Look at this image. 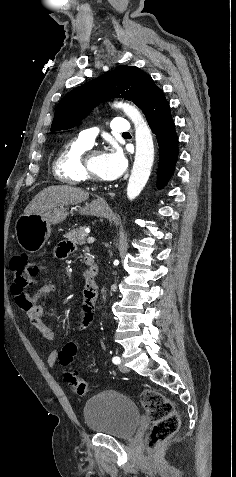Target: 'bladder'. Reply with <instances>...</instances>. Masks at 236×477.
Masks as SVG:
<instances>
[{
  "mask_svg": "<svg viewBox=\"0 0 236 477\" xmlns=\"http://www.w3.org/2000/svg\"><path fill=\"white\" fill-rule=\"evenodd\" d=\"M83 418L89 431L119 439L131 438L140 422L137 405L115 390H103L83 407Z\"/></svg>",
  "mask_w": 236,
  "mask_h": 477,
  "instance_id": "1",
  "label": "bladder"
}]
</instances>
